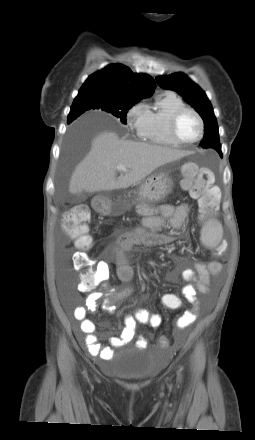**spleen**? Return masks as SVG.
<instances>
[{
	"instance_id": "1",
	"label": "spleen",
	"mask_w": 255,
	"mask_h": 440,
	"mask_svg": "<svg viewBox=\"0 0 255 440\" xmlns=\"http://www.w3.org/2000/svg\"><path fill=\"white\" fill-rule=\"evenodd\" d=\"M223 235L221 224L216 220H210L201 229V243L209 248L216 247Z\"/></svg>"
}]
</instances>
